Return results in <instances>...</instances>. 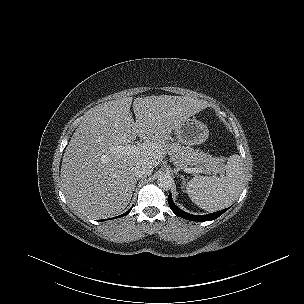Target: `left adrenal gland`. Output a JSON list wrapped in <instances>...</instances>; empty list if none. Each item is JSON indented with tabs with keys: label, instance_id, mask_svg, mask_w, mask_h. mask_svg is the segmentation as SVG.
I'll use <instances>...</instances> for the list:
<instances>
[{
	"label": "left adrenal gland",
	"instance_id": "obj_1",
	"mask_svg": "<svg viewBox=\"0 0 304 304\" xmlns=\"http://www.w3.org/2000/svg\"><path fill=\"white\" fill-rule=\"evenodd\" d=\"M181 178H182V184H183L182 188H184V185H185L186 181H185V178H184L183 175H181Z\"/></svg>",
	"mask_w": 304,
	"mask_h": 304
}]
</instances>
